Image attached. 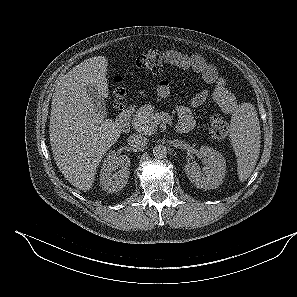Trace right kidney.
Listing matches in <instances>:
<instances>
[{
  "label": "right kidney",
  "mask_w": 297,
  "mask_h": 297,
  "mask_svg": "<svg viewBox=\"0 0 297 297\" xmlns=\"http://www.w3.org/2000/svg\"><path fill=\"white\" fill-rule=\"evenodd\" d=\"M130 158L126 155L116 156L110 151L104 159L100 172V185L108 193L120 191L129 178ZM119 169L118 171H116Z\"/></svg>",
  "instance_id": "obj_1"
}]
</instances>
